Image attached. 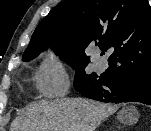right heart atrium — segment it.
I'll use <instances>...</instances> for the list:
<instances>
[{
	"label": "right heart atrium",
	"instance_id": "obj_1",
	"mask_svg": "<svg viewBox=\"0 0 151 131\" xmlns=\"http://www.w3.org/2000/svg\"><path fill=\"white\" fill-rule=\"evenodd\" d=\"M37 88L48 97H58L66 93L69 85L68 74L62 60L49 53L41 62L36 73Z\"/></svg>",
	"mask_w": 151,
	"mask_h": 131
}]
</instances>
